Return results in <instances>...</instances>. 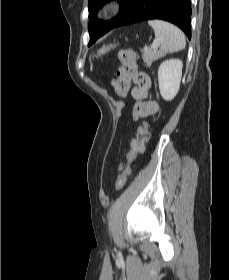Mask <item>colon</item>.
I'll use <instances>...</instances> for the list:
<instances>
[{"label": "colon", "instance_id": "1", "mask_svg": "<svg viewBox=\"0 0 229 280\" xmlns=\"http://www.w3.org/2000/svg\"><path fill=\"white\" fill-rule=\"evenodd\" d=\"M118 58L121 67L118 70V83L116 85L117 92L124 91L132 81L148 90L150 87V78L145 72L137 69L136 52L133 49H123L119 51ZM149 127V122H144L139 127L137 135L132 139L131 150L128 153V164L115 180L116 189H121L124 186L127 177L130 174V163L138 154L144 151L145 143L149 138Z\"/></svg>", "mask_w": 229, "mask_h": 280}]
</instances>
